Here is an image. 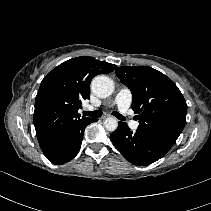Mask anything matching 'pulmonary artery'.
<instances>
[{"mask_svg": "<svg viewBox=\"0 0 211 211\" xmlns=\"http://www.w3.org/2000/svg\"><path fill=\"white\" fill-rule=\"evenodd\" d=\"M131 101H132L131 91L128 88H122L116 94L113 104L111 106H116L122 114H128ZM88 109L91 110L92 107L89 106ZM130 126L133 129H137L139 126V123L136 121H131Z\"/></svg>", "mask_w": 211, "mask_h": 211, "instance_id": "e3ab8cb5", "label": "pulmonary artery"}]
</instances>
